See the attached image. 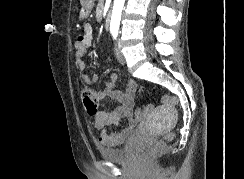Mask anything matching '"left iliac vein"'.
Segmentation results:
<instances>
[{
	"label": "left iliac vein",
	"mask_w": 244,
	"mask_h": 179,
	"mask_svg": "<svg viewBox=\"0 0 244 179\" xmlns=\"http://www.w3.org/2000/svg\"><path fill=\"white\" fill-rule=\"evenodd\" d=\"M115 54H116V57H117V60L119 61V63L122 65H125V63H126L125 57L121 51V48L117 45L115 47Z\"/></svg>",
	"instance_id": "1"
}]
</instances>
